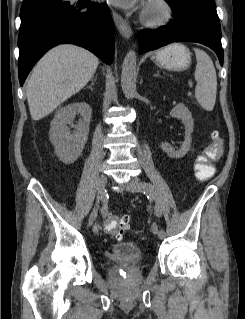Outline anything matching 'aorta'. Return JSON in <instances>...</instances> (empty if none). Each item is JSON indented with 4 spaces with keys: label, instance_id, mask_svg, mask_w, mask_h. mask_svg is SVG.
<instances>
[{
    "label": "aorta",
    "instance_id": "aorta-1",
    "mask_svg": "<svg viewBox=\"0 0 245 319\" xmlns=\"http://www.w3.org/2000/svg\"><path fill=\"white\" fill-rule=\"evenodd\" d=\"M136 67L137 56L134 50H130L123 61L121 71V86L127 99H133L137 94L136 91Z\"/></svg>",
    "mask_w": 245,
    "mask_h": 319
}]
</instances>
